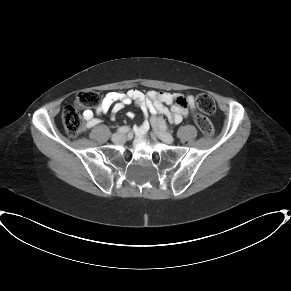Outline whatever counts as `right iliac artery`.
Masks as SVG:
<instances>
[{
	"label": "right iliac artery",
	"mask_w": 291,
	"mask_h": 291,
	"mask_svg": "<svg viewBox=\"0 0 291 291\" xmlns=\"http://www.w3.org/2000/svg\"><path fill=\"white\" fill-rule=\"evenodd\" d=\"M117 131L119 133H127L129 131V127L128 126H122V127L118 128Z\"/></svg>",
	"instance_id": "1"
}]
</instances>
